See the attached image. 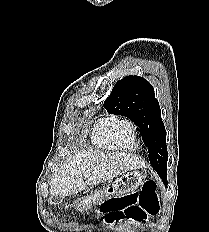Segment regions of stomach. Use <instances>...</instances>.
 Here are the masks:
<instances>
[{"instance_id":"stomach-1","label":"stomach","mask_w":209,"mask_h":232,"mask_svg":"<svg viewBox=\"0 0 209 232\" xmlns=\"http://www.w3.org/2000/svg\"><path fill=\"white\" fill-rule=\"evenodd\" d=\"M145 175L140 171H127L126 175L118 176L115 183H112V186H106L105 190L100 189V194L95 192L91 194L88 198H81V203H99L106 201L104 196L113 197V199H118V197L123 193L135 192L140 185L143 184ZM98 195V196H97ZM98 197V198H97ZM88 211L92 210L91 206L87 207Z\"/></svg>"}]
</instances>
